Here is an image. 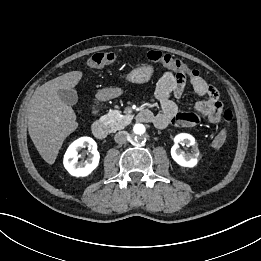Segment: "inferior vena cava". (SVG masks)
Returning a JSON list of instances; mask_svg holds the SVG:
<instances>
[{"label":"inferior vena cava","instance_id":"obj_1","mask_svg":"<svg viewBox=\"0 0 261 261\" xmlns=\"http://www.w3.org/2000/svg\"><path fill=\"white\" fill-rule=\"evenodd\" d=\"M128 137H129L128 132H126V131H119V132H117L115 134L114 140L118 144H124V143L127 142Z\"/></svg>","mask_w":261,"mask_h":261}]
</instances>
